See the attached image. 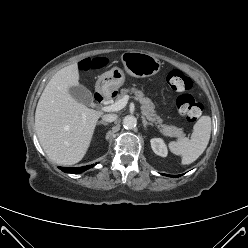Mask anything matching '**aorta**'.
Returning a JSON list of instances; mask_svg holds the SVG:
<instances>
[{
  "label": "aorta",
  "instance_id": "1",
  "mask_svg": "<svg viewBox=\"0 0 248 248\" xmlns=\"http://www.w3.org/2000/svg\"><path fill=\"white\" fill-rule=\"evenodd\" d=\"M137 124V119L132 115H127L123 119V127L125 129H133Z\"/></svg>",
  "mask_w": 248,
  "mask_h": 248
}]
</instances>
